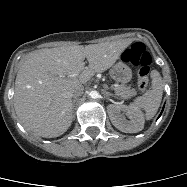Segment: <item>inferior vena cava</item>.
I'll list each match as a JSON object with an SVG mask.
<instances>
[{"mask_svg": "<svg viewBox=\"0 0 187 187\" xmlns=\"http://www.w3.org/2000/svg\"><path fill=\"white\" fill-rule=\"evenodd\" d=\"M83 91H84L83 85H77L72 89L71 97L77 98L83 93Z\"/></svg>", "mask_w": 187, "mask_h": 187, "instance_id": "obj_1", "label": "inferior vena cava"}]
</instances>
